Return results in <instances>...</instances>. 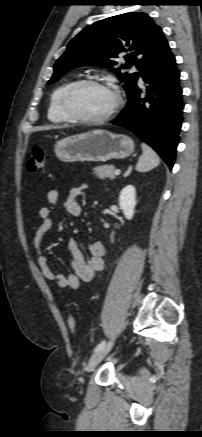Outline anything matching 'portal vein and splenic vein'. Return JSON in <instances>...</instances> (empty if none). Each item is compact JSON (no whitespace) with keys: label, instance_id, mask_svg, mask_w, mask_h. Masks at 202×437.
<instances>
[{"label":"portal vein and splenic vein","instance_id":"18ae733b","mask_svg":"<svg viewBox=\"0 0 202 437\" xmlns=\"http://www.w3.org/2000/svg\"><path fill=\"white\" fill-rule=\"evenodd\" d=\"M120 170L119 169H117V170H115V175H120Z\"/></svg>","mask_w":202,"mask_h":437}]
</instances>
